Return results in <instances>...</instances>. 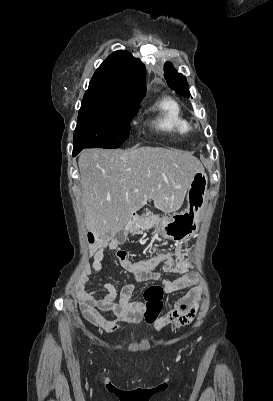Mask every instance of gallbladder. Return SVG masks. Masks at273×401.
Segmentation results:
<instances>
[{
	"label": "gallbladder",
	"mask_w": 273,
	"mask_h": 401,
	"mask_svg": "<svg viewBox=\"0 0 273 401\" xmlns=\"http://www.w3.org/2000/svg\"><path fill=\"white\" fill-rule=\"evenodd\" d=\"M118 232L119 233H116L117 241H119V243H125V241H126V235H125L126 229L124 227H120L118 229Z\"/></svg>",
	"instance_id": "gallbladder-1"
}]
</instances>
